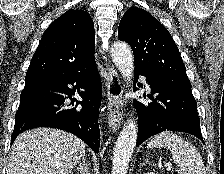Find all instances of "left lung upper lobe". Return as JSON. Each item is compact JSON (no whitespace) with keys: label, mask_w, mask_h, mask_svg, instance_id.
I'll return each mask as SVG.
<instances>
[{"label":"left lung upper lobe","mask_w":224,"mask_h":174,"mask_svg":"<svg viewBox=\"0 0 224 174\" xmlns=\"http://www.w3.org/2000/svg\"><path fill=\"white\" fill-rule=\"evenodd\" d=\"M118 37L131 46L135 70L156 77L189 81L173 38L147 11L136 7L128 9L120 21Z\"/></svg>","instance_id":"left-lung-upper-lobe-1"}]
</instances>
